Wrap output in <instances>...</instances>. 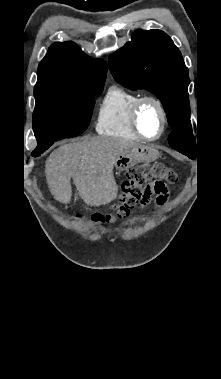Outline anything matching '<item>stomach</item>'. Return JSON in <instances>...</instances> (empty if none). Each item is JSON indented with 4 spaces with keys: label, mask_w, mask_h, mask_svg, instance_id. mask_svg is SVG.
Listing matches in <instances>:
<instances>
[{
    "label": "stomach",
    "mask_w": 221,
    "mask_h": 379,
    "mask_svg": "<svg viewBox=\"0 0 221 379\" xmlns=\"http://www.w3.org/2000/svg\"><path fill=\"white\" fill-rule=\"evenodd\" d=\"M159 157V152L145 145H137L119 155L115 162V168L118 172L125 171L138 163L152 162Z\"/></svg>",
    "instance_id": "1"
}]
</instances>
